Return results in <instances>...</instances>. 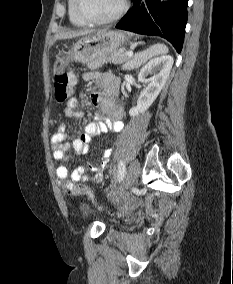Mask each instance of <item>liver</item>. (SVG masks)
Listing matches in <instances>:
<instances>
[{
	"label": "liver",
	"instance_id": "1",
	"mask_svg": "<svg viewBox=\"0 0 233 284\" xmlns=\"http://www.w3.org/2000/svg\"><path fill=\"white\" fill-rule=\"evenodd\" d=\"M94 32L95 30L93 29H83V30H77V31H61L55 34L52 44L56 42L57 40L72 39L75 37L89 35Z\"/></svg>",
	"mask_w": 233,
	"mask_h": 284
}]
</instances>
